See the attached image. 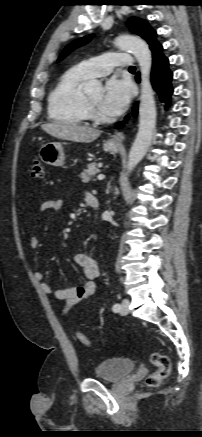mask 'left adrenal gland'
I'll list each match as a JSON object with an SVG mask.
<instances>
[{
	"mask_svg": "<svg viewBox=\"0 0 202 437\" xmlns=\"http://www.w3.org/2000/svg\"><path fill=\"white\" fill-rule=\"evenodd\" d=\"M111 188L110 183L108 184V190Z\"/></svg>",
	"mask_w": 202,
	"mask_h": 437,
	"instance_id": "1",
	"label": "left adrenal gland"
}]
</instances>
